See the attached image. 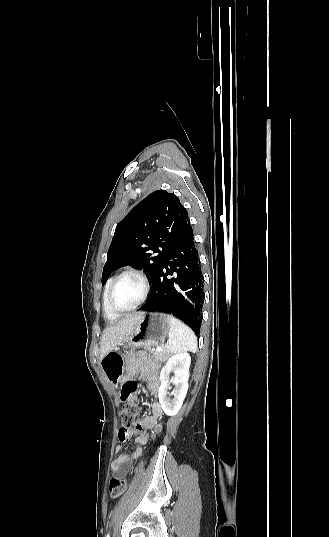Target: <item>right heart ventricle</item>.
<instances>
[{"instance_id": "obj_1", "label": "right heart ventricle", "mask_w": 329, "mask_h": 537, "mask_svg": "<svg viewBox=\"0 0 329 537\" xmlns=\"http://www.w3.org/2000/svg\"><path fill=\"white\" fill-rule=\"evenodd\" d=\"M113 277L109 278L108 281L106 282L105 286H104V289H103V294H102V306H103V310H104V313L106 315L107 318L109 319H115L119 316V314L113 312L109 306H108V303H107V295H108V291H109V287L113 281Z\"/></svg>"}]
</instances>
